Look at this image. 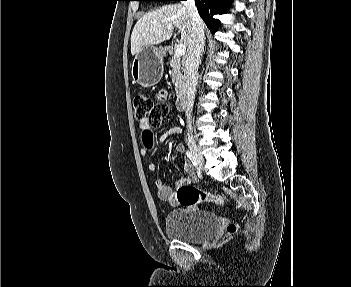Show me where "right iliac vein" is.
I'll return each mask as SVG.
<instances>
[{
  "instance_id": "63e3f726",
  "label": "right iliac vein",
  "mask_w": 351,
  "mask_h": 287,
  "mask_svg": "<svg viewBox=\"0 0 351 287\" xmlns=\"http://www.w3.org/2000/svg\"><path fill=\"white\" fill-rule=\"evenodd\" d=\"M187 144H188L190 151L192 152V154L194 155V157L196 159L197 166L200 169H202L203 165H204V159H203V156H202L198 146L196 145V143L194 142L193 139H188Z\"/></svg>"
}]
</instances>
